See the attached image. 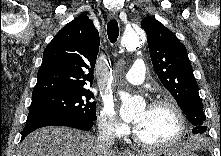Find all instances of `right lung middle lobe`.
Segmentation results:
<instances>
[{
    "instance_id": "right-lung-middle-lobe-1",
    "label": "right lung middle lobe",
    "mask_w": 221,
    "mask_h": 156,
    "mask_svg": "<svg viewBox=\"0 0 221 156\" xmlns=\"http://www.w3.org/2000/svg\"><path fill=\"white\" fill-rule=\"evenodd\" d=\"M88 89L49 94L32 100L26 124L54 120L95 121L96 103Z\"/></svg>"
}]
</instances>
